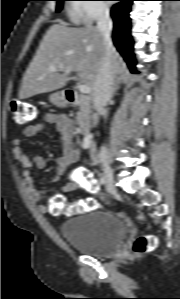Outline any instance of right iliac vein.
I'll use <instances>...</instances> for the list:
<instances>
[{
    "instance_id": "obj_1",
    "label": "right iliac vein",
    "mask_w": 180,
    "mask_h": 299,
    "mask_svg": "<svg viewBox=\"0 0 180 299\" xmlns=\"http://www.w3.org/2000/svg\"><path fill=\"white\" fill-rule=\"evenodd\" d=\"M103 172H104V178H105V184L107 187V190L110 193H114L116 191L115 184H114V177H113V171L107 162H103Z\"/></svg>"
}]
</instances>
